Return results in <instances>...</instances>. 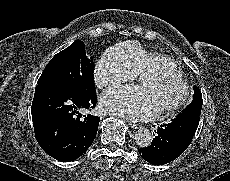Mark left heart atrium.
I'll list each match as a JSON object with an SVG mask.
<instances>
[{
  "label": "left heart atrium",
  "instance_id": "obj_1",
  "mask_svg": "<svg viewBox=\"0 0 230 181\" xmlns=\"http://www.w3.org/2000/svg\"><path fill=\"white\" fill-rule=\"evenodd\" d=\"M104 108L130 120H146L154 116V109L148 105L139 88L111 90L102 100Z\"/></svg>",
  "mask_w": 230,
  "mask_h": 181
}]
</instances>
